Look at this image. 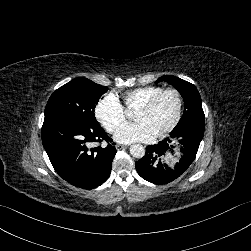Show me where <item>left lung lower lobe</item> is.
Wrapping results in <instances>:
<instances>
[{
  "label": "left lung lower lobe",
  "mask_w": 251,
  "mask_h": 251,
  "mask_svg": "<svg viewBox=\"0 0 251 251\" xmlns=\"http://www.w3.org/2000/svg\"><path fill=\"white\" fill-rule=\"evenodd\" d=\"M204 130L179 128L171 132L169 138L155 145H149L143 158L136 162L138 174L154 184H167L181 176L194 161ZM172 139H180L182 156L174 167H169L161 161V157L171 150Z\"/></svg>",
  "instance_id": "0a47b994"
}]
</instances>
